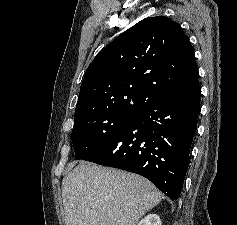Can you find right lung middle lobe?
I'll return each instance as SVG.
<instances>
[{"instance_id":"1","label":"right lung middle lobe","mask_w":237,"mask_h":225,"mask_svg":"<svg viewBox=\"0 0 237 225\" xmlns=\"http://www.w3.org/2000/svg\"><path fill=\"white\" fill-rule=\"evenodd\" d=\"M135 115L100 114L75 121L72 130L75 159L84 158L108 142L127 126Z\"/></svg>"}]
</instances>
